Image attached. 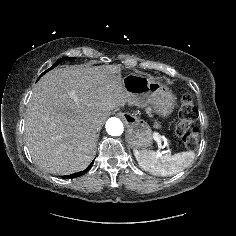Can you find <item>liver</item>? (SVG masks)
Segmentation results:
<instances>
[{
    "label": "liver",
    "mask_w": 236,
    "mask_h": 236,
    "mask_svg": "<svg viewBox=\"0 0 236 236\" xmlns=\"http://www.w3.org/2000/svg\"><path fill=\"white\" fill-rule=\"evenodd\" d=\"M121 71L118 65L61 68L38 81L26 109L25 136L41 168L68 175L88 167L98 129L113 109L130 102ZM95 121L98 129L92 127Z\"/></svg>",
    "instance_id": "6515ba94"
}]
</instances>
